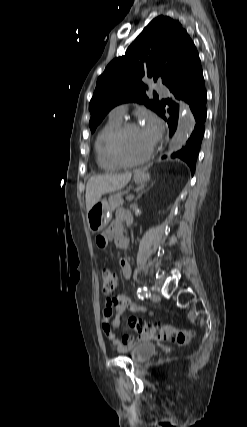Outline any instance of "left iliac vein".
<instances>
[{
    "mask_svg": "<svg viewBox=\"0 0 247 427\" xmlns=\"http://www.w3.org/2000/svg\"><path fill=\"white\" fill-rule=\"evenodd\" d=\"M150 299L153 302H158V301H160L161 298H160V295H158L157 293H153L150 295Z\"/></svg>",
    "mask_w": 247,
    "mask_h": 427,
    "instance_id": "1",
    "label": "left iliac vein"
}]
</instances>
